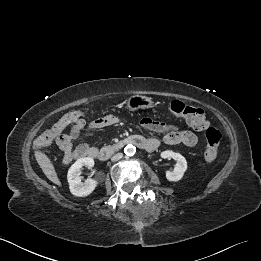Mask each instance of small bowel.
<instances>
[{"mask_svg":"<svg viewBox=\"0 0 261 261\" xmlns=\"http://www.w3.org/2000/svg\"><path fill=\"white\" fill-rule=\"evenodd\" d=\"M117 123H119L118 117L114 115H107L93 121L87 127L86 132L90 134L97 129L112 126ZM141 124L146 129L163 133L164 135L162 137V141L167 145H183L188 148H193L198 143V138L194 133L190 131H180L176 126L154 121L149 118H144ZM150 140H153L157 144V146L159 145V140L154 138ZM59 146L64 151L62 161L65 164L70 163L74 159L82 158L85 156L92 157L91 153L98 150L96 147L90 146L88 144H79L75 148H72V141L67 144H59Z\"/></svg>","mask_w":261,"mask_h":261,"instance_id":"small-bowel-1","label":"small bowel"}]
</instances>
